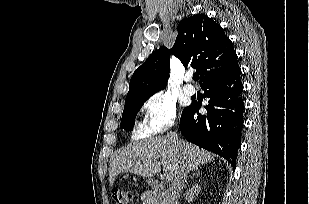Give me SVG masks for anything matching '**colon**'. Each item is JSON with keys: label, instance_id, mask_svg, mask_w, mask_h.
<instances>
[{"label": "colon", "instance_id": "obj_1", "mask_svg": "<svg viewBox=\"0 0 309 204\" xmlns=\"http://www.w3.org/2000/svg\"><path fill=\"white\" fill-rule=\"evenodd\" d=\"M112 195L116 204H129L132 199L131 192L125 189H115Z\"/></svg>", "mask_w": 309, "mask_h": 204}]
</instances>
